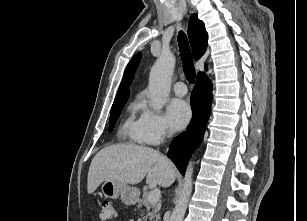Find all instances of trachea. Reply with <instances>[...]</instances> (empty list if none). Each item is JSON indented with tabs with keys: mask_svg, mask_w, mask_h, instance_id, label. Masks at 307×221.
Returning <instances> with one entry per match:
<instances>
[{
	"mask_svg": "<svg viewBox=\"0 0 307 221\" xmlns=\"http://www.w3.org/2000/svg\"><path fill=\"white\" fill-rule=\"evenodd\" d=\"M178 46L183 63V68L185 72L186 79L189 83H194L195 81V70L193 67V59L188 44L186 35L183 32H180L178 35Z\"/></svg>",
	"mask_w": 307,
	"mask_h": 221,
	"instance_id": "trachea-1",
	"label": "trachea"
}]
</instances>
